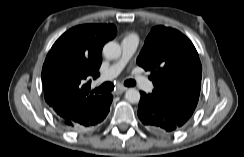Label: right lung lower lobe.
<instances>
[{
  "instance_id": "98d812e1",
  "label": "right lung lower lobe",
  "mask_w": 244,
  "mask_h": 157,
  "mask_svg": "<svg viewBox=\"0 0 244 157\" xmlns=\"http://www.w3.org/2000/svg\"><path fill=\"white\" fill-rule=\"evenodd\" d=\"M111 93L105 94L104 98L98 104L87 107L83 110V113L78 116H74L69 119H61L57 117V119L68 129L74 131H85L97 126L101 123L107 116L111 102H112Z\"/></svg>"
}]
</instances>
